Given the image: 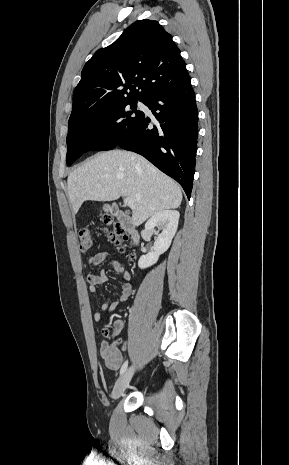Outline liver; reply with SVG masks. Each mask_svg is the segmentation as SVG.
Segmentation results:
<instances>
[{
	"label": "liver",
	"mask_w": 289,
	"mask_h": 465,
	"mask_svg": "<svg viewBox=\"0 0 289 465\" xmlns=\"http://www.w3.org/2000/svg\"><path fill=\"white\" fill-rule=\"evenodd\" d=\"M68 196L76 214L84 201L134 200L132 222L139 226L158 211L178 208L180 186L140 155L112 150L96 154L70 173Z\"/></svg>",
	"instance_id": "6515ba94"
}]
</instances>
